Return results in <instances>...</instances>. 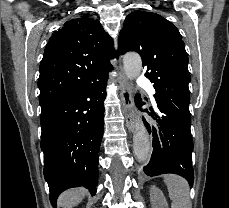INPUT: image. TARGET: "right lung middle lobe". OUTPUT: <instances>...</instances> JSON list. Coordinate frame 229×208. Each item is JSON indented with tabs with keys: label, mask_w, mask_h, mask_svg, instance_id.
<instances>
[{
	"label": "right lung middle lobe",
	"mask_w": 229,
	"mask_h": 208,
	"mask_svg": "<svg viewBox=\"0 0 229 208\" xmlns=\"http://www.w3.org/2000/svg\"><path fill=\"white\" fill-rule=\"evenodd\" d=\"M51 106H52L51 104L41 105L42 112H43V111H46V110L49 109Z\"/></svg>",
	"instance_id": "right-lung-middle-lobe-1"
}]
</instances>
